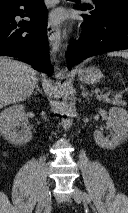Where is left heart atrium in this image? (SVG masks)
<instances>
[{"instance_id":"left-heart-atrium-1","label":"left heart atrium","mask_w":128,"mask_h":213,"mask_svg":"<svg viewBox=\"0 0 128 213\" xmlns=\"http://www.w3.org/2000/svg\"><path fill=\"white\" fill-rule=\"evenodd\" d=\"M63 19H64V16L61 11H57V12L53 13V15L51 17V21L54 24H58V23L62 22Z\"/></svg>"}]
</instances>
